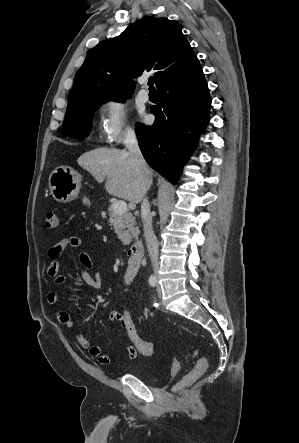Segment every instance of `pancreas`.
Wrapping results in <instances>:
<instances>
[{"label":"pancreas","mask_w":299,"mask_h":443,"mask_svg":"<svg viewBox=\"0 0 299 443\" xmlns=\"http://www.w3.org/2000/svg\"><path fill=\"white\" fill-rule=\"evenodd\" d=\"M109 222L113 225L114 230L118 238L122 241L123 245H128L132 242L133 238H137L139 235V228L136 226L135 218L130 213L122 215L116 214L113 211V206H109Z\"/></svg>","instance_id":"pancreas-1"}]
</instances>
